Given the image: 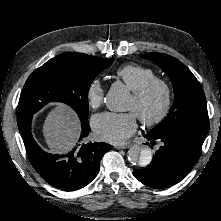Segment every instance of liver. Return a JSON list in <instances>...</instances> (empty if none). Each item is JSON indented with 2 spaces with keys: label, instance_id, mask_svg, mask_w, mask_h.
Instances as JSON below:
<instances>
[{
  "label": "liver",
  "instance_id": "6515ba94",
  "mask_svg": "<svg viewBox=\"0 0 221 221\" xmlns=\"http://www.w3.org/2000/svg\"><path fill=\"white\" fill-rule=\"evenodd\" d=\"M80 131V121L77 115L64 104H59L51 110L43 124L45 141L50 151L56 154L70 151Z\"/></svg>",
  "mask_w": 221,
  "mask_h": 221
}]
</instances>
